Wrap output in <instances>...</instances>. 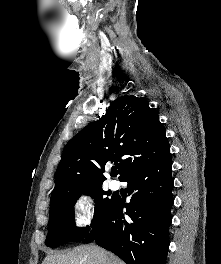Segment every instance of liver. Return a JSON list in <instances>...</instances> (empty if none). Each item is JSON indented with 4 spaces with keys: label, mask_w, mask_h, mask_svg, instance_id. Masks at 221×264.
I'll return each instance as SVG.
<instances>
[{
    "label": "liver",
    "mask_w": 221,
    "mask_h": 264,
    "mask_svg": "<svg viewBox=\"0 0 221 264\" xmlns=\"http://www.w3.org/2000/svg\"><path fill=\"white\" fill-rule=\"evenodd\" d=\"M42 264H125L96 245H82L67 253L47 255Z\"/></svg>",
    "instance_id": "1"
}]
</instances>
